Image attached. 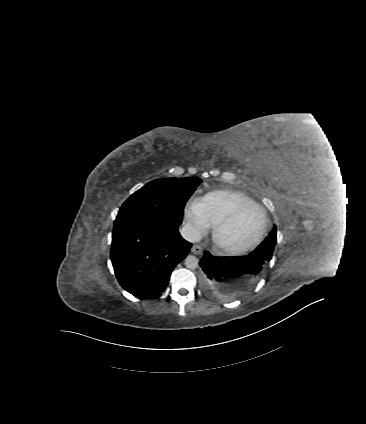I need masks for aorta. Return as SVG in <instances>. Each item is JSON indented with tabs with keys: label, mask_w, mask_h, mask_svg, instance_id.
Here are the masks:
<instances>
[{
	"label": "aorta",
	"mask_w": 366,
	"mask_h": 424,
	"mask_svg": "<svg viewBox=\"0 0 366 424\" xmlns=\"http://www.w3.org/2000/svg\"><path fill=\"white\" fill-rule=\"evenodd\" d=\"M198 263L199 260L194 255H188L185 259V266L191 270L196 269L198 267Z\"/></svg>",
	"instance_id": "1"
}]
</instances>
